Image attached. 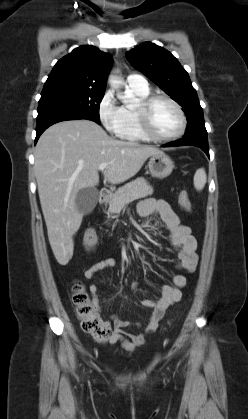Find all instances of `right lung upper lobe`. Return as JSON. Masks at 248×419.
I'll return each mask as SVG.
<instances>
[{
  "label": "right lung upper lobe",
  "mask_w": 248,
  "mask_h": 419,
  "mask_svg": "<svg viewBox=\"0 0 248 419\" xmlns=\"http://www.w3.org/2000/svg\"><path fill=\"white\" fill-rule=\"evenodd\" d=\"M111 65L110 54L94 46L78 47L55 64L44 88L78 87L105 91Z\"/></svg>",
  "instance_id": "cb5924a9"
}]
</instances>
